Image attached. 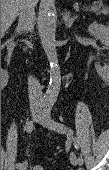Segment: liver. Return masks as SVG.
Returning <instances> with one entry per match:
<instances>
[{
    "instance_id": "liver-1",
    "label": "liver",
    "mask_w": 109,
    "mask_h": 170,
    "mask_svg": "<svg viewBox=\"0 0 109 170\" xmlns=\"http://www.w3.org/2000/svg\"><path fill=\"white\" fill-rule=\"evenodd\" d=\"M34 7L38 0H32ZM21 0H1V31L4 33L16 20L20 12Z\"/></svg>"
}]
</instances>
